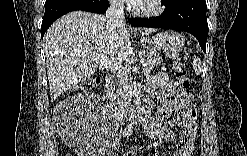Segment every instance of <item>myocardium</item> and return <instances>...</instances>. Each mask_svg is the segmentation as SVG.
Listing matches in <instances>:
<instances>
[{
	"mask_svg": "<svg viewBox=\"0 0 247 156\" xmlns=\"http://www.w3.org/2000/svg\"><path fill=\"white\" fill-rule=\"evenodd\" d=\"M150 2V6L145 9L139 5H133L131 7L132 14L138 18H150L160 14L162 11V2L160 0H152Z\"/></svg>",
	"mask_w": 247,
	"mask_h": 156,
	"instance_id": "1",
	"label": "myocardium"
}]
</instances>
